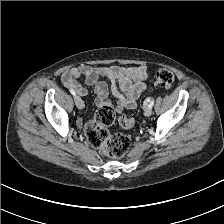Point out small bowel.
I'll return each instance as SVG.
<instances>
[{
	"label": "small bowel",
	"instance_id": "obj_1",
	"mask_svg": "<svg viewBox=\"0 0 224 224\" xmlns=\"http://www.w3.org/2000/svg\"><path fill=\"white\" fill-rule=\"evenodd\" d=\"M148 67L137 66H99L81 65L73 67L62 73V84L72 89L81 97L88 94L86 88L81 86L77 79L84 78L85 83L94 87L96 93V104L98 106H110L107 100L109 90L116 98L117 104L115 110L120 112L124 109H135L139 95L146 90V84L143 82L148 77ZM106 79L109 85L100 81ZM82 120H77V125L82 126Z\"/></svg>",
	"mask_w": 224,
	"mask_h": 224
}]
</instances>
